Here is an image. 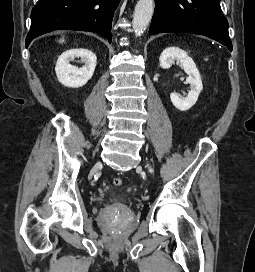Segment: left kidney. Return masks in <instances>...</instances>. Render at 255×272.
Listing matches in <instances>:
<instances>
[{
	"instance_id": "5707ae66",
	"label": "left kidney",
	"mask_w": 255,
	"mask_h": 272,
	"mask_svg": "<svg viewBox=\"0 0 255 272\" xmlns=\"http://www.w3.org/2000/svg\"><path fill=\"white\" fill-rule=\"evenodd\" d=\"M160 66L163 69H169L175 61L183 67L188 77L186 83L190 85V90L186 97H179L176 93L170 94L172 104L181 111L190 109L197 101L203 85L200 77V73L196 67V64L188 54L177 48L168 47L160 55Z\"/></svg>"
}]
</instances>
